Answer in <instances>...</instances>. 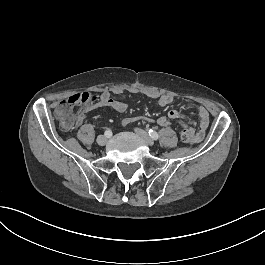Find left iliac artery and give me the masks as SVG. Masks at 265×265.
<instances>
[{
  "label": "left iliac artery",
  "mask_w": 265,
  "mask_h": 265,
  "mask_svg": "<svg viewBox=\"0 0 265 265\" xmlns=\"http://www.w3.org/2000/svg\"><path fill=\"white\" fill-rule=\"evenodd\" d=\"M148 133H149V136L154 139V140H157L159 138V135L156 131L152 130V129H149L148 130Z\"/></svg>",
  "instance_id": "1"
}]
</instances>
